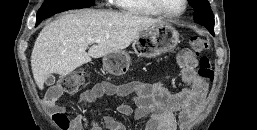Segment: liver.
<instances>
[{"label": "liver", "mask_w": 257, "mask_h": 130, "mask_svg": "<svg viewBox=\"0 0 257 130\" xmlns=\"http://www.w3.org/2000/svg\"><path fill=\"white\" fill-rule=\"evenodd\" d=\"M160 19L129 13L80 10L63 15L39 33L31 68L39 89L52 74L67 75L92 58L122 51ZM98 41V42H97ZM88 45V53L86 49Z\"/></svg>", "instance_id": "obj_1"}]
</instances>
